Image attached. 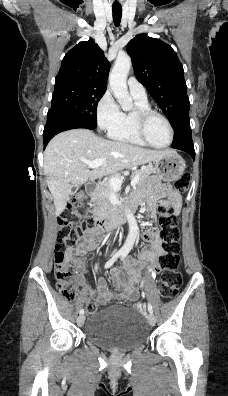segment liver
<instances>
[{
  "label": "liver",
  "instance_id": "liver-1",
  "mask_svg": "<svg viewBox=\"0 0 228 396\" xmlns=\"http://www.w3.org/2000/svg\"><path fill=\"white\" fill-rule=\"evenodd\" d=\"M169 152L106 140L88 129H73L58 134L44 152V172L54 198L56 215L64 211L73 185H82L88 179L93 181L125 168L158 160ZM96 159L106 162L90 171L86 162Z\"/></svg>",
  "mask_w": 228,
  "mask_h": 396
}]
</instances>
